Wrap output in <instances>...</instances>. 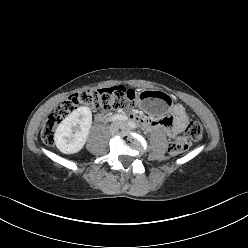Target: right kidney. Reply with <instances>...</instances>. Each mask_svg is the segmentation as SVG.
Instances as JSON below:
<instances>
[{
	"label": "right kidney",
	"instance_id": "right-kidney-1",
	"mask_svg": "<svg viewBox=\"0 0 248 248\" xmlns=\"http://www.w3.org/2000/svg\"><path fill=\"white\" fill-rule=\"evenodd\" d=\"M92 124L88 107H79L69 114L54 134L56 147L64 154L79 152L85 145Z\"/></svg>",
	"mask_w": 248,
	"mask_h": 248
}]
</instances>
